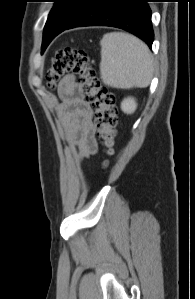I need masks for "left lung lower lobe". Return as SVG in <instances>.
<instances>
[{
    "label": "left lung lower lobe",
    "mask_w": 195,
    "mask_h": 299,
    "mask_svg": "<svg viewBox=\"0 0 195 299\" xmlns=\"http://www.w3.org/2000/svg\"><path fill=\"white\" fill-rule=\"evenodd\" d=\"M150 0H88L79 15L66 27L50 34L49 43L64 30L81 26H111L124 29L151 48L154 33ZM45 50V49H44ZM42 50V51H44Z\"/></svg>",
    "instance_id": "obj_1"
}]
</instances>
